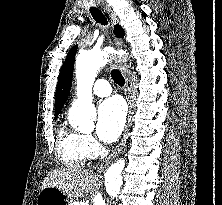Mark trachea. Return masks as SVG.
<instances>
[{"mask_svg": "<svg viewBox=\"0 0 222 205\" xmlns=\"http://www.w3.org/2000/svg\"><path fill=\"white\" fill-rule=\"evenodd\" d=\"M90 13L97 23H100L102 25H107V20L103 15V13L101 12V10L92 7L90 8ZM111 77L114 80V82L119 86H123L125 84V79L119 70L113 69L111 71Z\"/></svg>", "mask_w": 222, "mask_h": 205, "instance_id": "3493384b", "label": "trachea"}]
</instances>
